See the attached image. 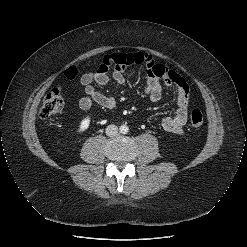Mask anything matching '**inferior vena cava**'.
<instances>
[{"label": "inferior vena cava", "mask_w": 247, "mask_h": 247, "mask_svg": "<svg viewBox=\"0 0 247 247\" xmlns=\"http://www.w3.org/2000/svg\"><path fill=\"white\" fill-rule=\"evenodd\" d=\"M118 133V127L116 125H109L106 128V135L109 137H113L117 135Z\"/></svg>", "instance_id": "1"}]
</instances>
